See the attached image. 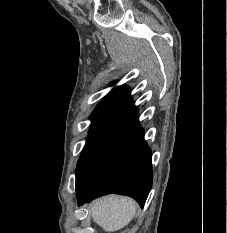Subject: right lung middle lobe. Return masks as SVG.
Masks as SVG:
<instances>
[{
    "label": "right lung middle lobe",
    "instance_id": "right-lung-middle-lobe-1",
    "mask_svg": "<svg viewBox=\"0 0 227 233\" xmlns=\"http://www.w3.org/2000/svg\"><path fill=\"white\" fill-rule=\"evenodd\" d=\"M116 135L91 134L77 164L76 186L80 184L100 156L117 140Z\"/></svg>",
    "mask_w": 227,
    "mask_h": 233
}]
</instances>
